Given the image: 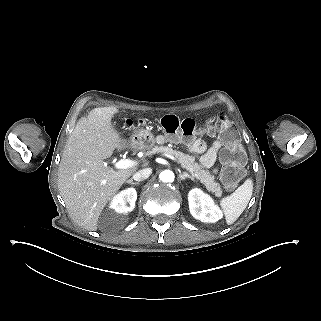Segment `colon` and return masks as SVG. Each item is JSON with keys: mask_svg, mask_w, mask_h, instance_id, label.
I'll use <instances>...</instances> for the list:
<instances>
[{"mask_svg": "<svg viewBox=\"0 0 321 321\" xmlns=\"http://www.w3.org/2000/svg\"><path fill=\"white\" fill-rule=\"evenodd\" d=\"M139 124L146 121L138 120ZM156 124L168 133H181L186 137H193L199 133L219 132L225 143L220 153L224 165L221 179L224 185L231 189L244 176L245 152L241 146L237 131L224 113H217L208 117L202 126L192 118L181 119L175 115H165Z\"/></svg>", "mask_w": 321, "mask_h": 321, "instance_id": "5ec220e1", "label": "colon"}]
</instances>
